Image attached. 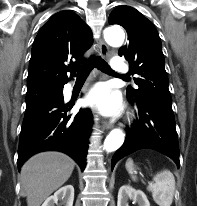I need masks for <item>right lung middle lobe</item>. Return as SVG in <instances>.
Here are the masks:
<instances>
[{
  "mask_svg": "<svg viewBox=\"0 0 197 206\" xmlns=\"http://www.w3.org/2000/svg\"><path fill=\"white\" fill-rule=\"evenodd\" d=\"M62 89L43 88L27 90L26 93V109H31L43 102L58 97Z\"/></svg>",
  "mask_w": 197,
  "mask_h": 206,
  "instance_id": "1",
  "label": "right lung middle lobe"
}]
</instances>
